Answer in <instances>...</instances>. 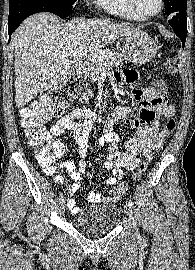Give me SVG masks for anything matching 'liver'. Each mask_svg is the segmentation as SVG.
Wrapping results in <instances>:
<instances>
[{
    "mask_svg": "<svg viewBox=\"0 0 195 270\" xmlns=\"http://www.w3.org/2000/svg\"><path fill=\"white\" fill-rule=\"evenodd\" d=\"M138 27L107 19H74L62 23L51 13L28 17L13 33L15 102L18 108L39 93L62 83L70 73L72 51H99ZM65 52V53H64Z\"/></svg>",
    "mask_w": 195,
    "mask_h": 270,
    "instance_id": "1",
    "label": "liver"
}]
</instances>
